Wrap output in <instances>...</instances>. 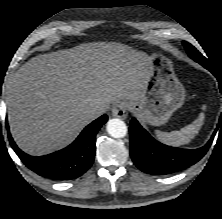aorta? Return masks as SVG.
Wrapping results in <instances>:
<instances>
[{"mask_svg": "<svg viewBox=\"0 0 222 219\" xmlns=\"http://www.w3.org/2000/svg\"><path fill=\"white\" fill-rule=\"evenodd\" d=\"M106 129L113 138H123L128 131L126 124L118 118L110 119L107 122Z\"/></svg>", "mask_w": 222, "mask_h": 219, "instance_id": "1", "label": "aorta"}]
</instances>
